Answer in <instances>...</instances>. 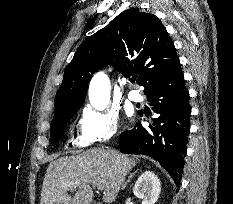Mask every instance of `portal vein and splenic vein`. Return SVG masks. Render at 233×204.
Here are the masks:
<instances>
[{
	"label": "portal vein and splenic vein",
	"mask_w": 233,
	"mask_h": 204,
	"mask_svg": "<svg viewBox=\"0 0 233 204\" xmlns=\"http://www.w3.org/2000/svg\"><path fill=\"white\" fill-rule=\"evenodd\" d=\"M93 186H94V187H97L98 190H103L102 185H99V184H98V185H93Z\"/></svg>",
	"instance_id": "portal-vein-and-splenic-vein-1"
}]
</instances>
